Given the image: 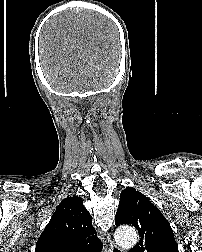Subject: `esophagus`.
<instances>
[{
    "label": "esophagus",
    "mask_w": 202,
    "mask_h": 252,
    "mask_svg": "<svg viewBox=\"0 0 202 252\" xmlns=\"http://www.w3.org/2000/svg\"><path fill=\"white\" fill-rule=\"evenodd\" d=\"M107 246L109 252H122L121 249L114 243L110 236L107 237Z\"/></svg>",
    "instance_id": "esophagus-1"
}]
</instances>
